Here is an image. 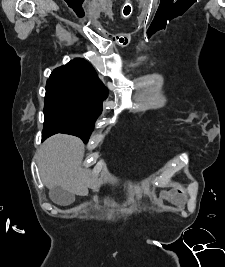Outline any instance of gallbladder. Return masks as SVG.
<instances>
[{
    "label": "gallbladder",
    "instance_id": "gallbladder-1",
    "mask_svg": "<svg viewBox=\"0 0 225 267\" xmlns=\"http://www.w3.org/2000/svg\"><path fill=\"white\" fill-rule=\"evenodd\" d=\"M49 196L54 203L62 206L69 205L74 201V194L64 190L58 185L49 189Z\"/></svg>",
    "mask_w": 225,
    "mask_h": 267
}]
</instances>
